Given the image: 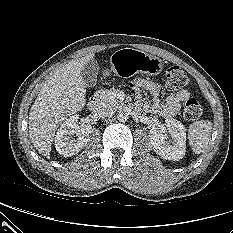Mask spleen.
Instances as JSON below:
<instances>
[{"instance_id":"obj_1","label":"spleen","mask_w":233,"mask_h":233,"mask_svg":"<svg viewBox=\"0 0 233 233\" xmlns=\"http://www.w3.org/2000/svg\"><path fill=\"white\" fill-rule=\"evenodd\" d=\"M213 123L209 120H200L190 124L188 129L189 144L196 154L202 153L210 140Z\"/></svg>"}]
</instances>
